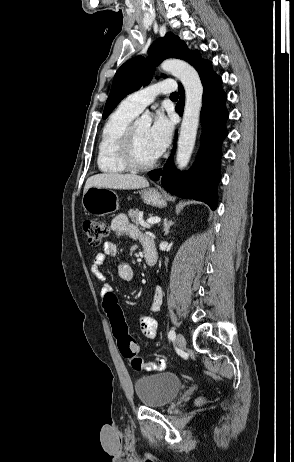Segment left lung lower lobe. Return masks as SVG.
Instances as JSON below:
<instances>
[{
  "mask_svg": "<svg viewBox=\"0 0 294 462\" xmlns=\"http://www.w3.org/2000/svg\"><path fill=\"white\" fill-rule=\"evenodd\" d=\"M196 70L204 87L201 146L196 162L189 172L181 174L175 169L171 156L162 171H150L149 176L153 180H158L161 175L162 186L171 194L203 201L215 210L216 188L220 180L221 144L228 134L225 128L228 118L225 107L227 95L221 87L220 76L212 70L209 61L198 66ZM179 93L180 100L176 105V111L182 115L185 97L181 85Z\"/></svg>",
  "mask_w": 294,
  "mask_h": 462,
  "instance_id": "left-lung-lower-lobe-1",
  "label": "left lung lower lobe"
}]
</instances>
